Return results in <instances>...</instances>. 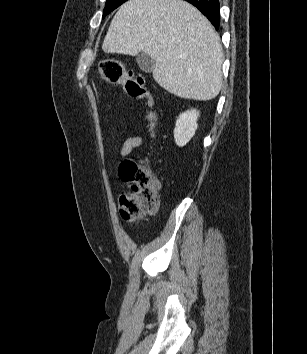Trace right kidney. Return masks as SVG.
Returning a JSON list of instances; mask_svg holds the SVG:
<instances>
[{
	"instance_id": "obj_1",
	"label": "right kidney",
	"mask_w": 307,
	"mask_h": 354,
	"mask_svg": "<svg viewBox=\"0 0 307 354\" xmlns=\"http://www.w3.org/2000/svg\"><path fill=\"white\" fill-rule=\"evenodd\" d=\"M198 117L199 112L196 109L187 110L179 115L174 129V139L179 147L186 145L195 135Z\"/></svg>"
}]
</instances>
